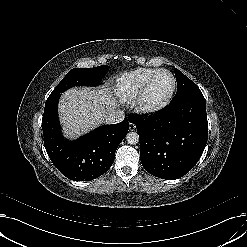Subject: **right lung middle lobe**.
Listing matches in <instances>:
<instances>
[{
	"instance_id": "right-lung-middle-lobe-1",
	"label": "right lung middle lobe",
	"mask_w": 247,
	"mask_h": 247,
	"mask_svg": "<svg viewBox=\"0 0 247 247\" xmlns=\"http://www.w3.org/2000/svg\"><path fill=\"white\" fill-rule=\"evenodd\" d=\"M107 69V65L95 68H74L67 73L50 96L60 95L62 92L74 86H95L99 84L102 74Z\"/></svg>"
}]
</instances>
